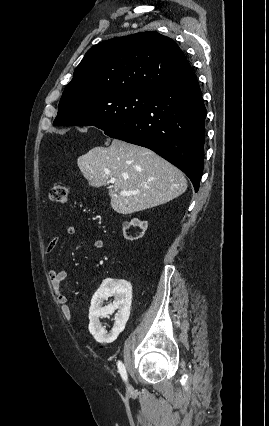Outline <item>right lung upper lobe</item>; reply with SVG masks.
I'll return each mask as SVG.
<instances>
[{"instance_id": "right-lung-upper-lobe-1", "label": "right lung upper lobe", "mask_w": 269, "mask_h": 426, "mask_svg": "<svg viewBox=\"0 0 269 426\" xmlns=\"http://www.w3.org/2000/svg\"><path fill=\"white\" fill-rule=\"evenodd\" d=\"M191 72L184 53L172 39L154 31L140 32L91 47L62 97L92 98L130 90L152 92Z\"/></svg>"}]
</instances>
